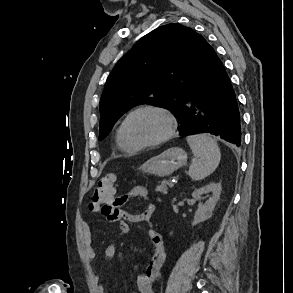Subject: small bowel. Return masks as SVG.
<instances>
[{"instance_id":"1","label":"small bowel","mask_w":293,"mask_h":293,"mask_svg":"<svg viewBox=\"0 0 293 293\" xmlns=\"http://www.w3.org/2000/svg\"><path fill=\"white\" fill-rule=\"evenodd\" d=\"M131 198H142L149 200V192L143 186H135L130 192L119 197L114 198L115 203L105 207L101 212L110 222L119 223L120 235L124 236L130 231L131 223H146L149 226V237L155 247L154 255L143 269L137 279V286L139 293H156L155 283L160 278L163 265L166 259L164 242L162 235L154 229L152 216L156 210L155 204L149 202L145 209L138 214L127 212L120 207ZM83 242L85 249L86 261L90 264L95 259L96 253L92 247V234L87 223L82 225ZM116 254V244L111 242L104 249V256L106 258H113ZM93 281L96 288L101 292H105V287L99 283V276L93 275Z\"/></svg>"}]
</instances>
